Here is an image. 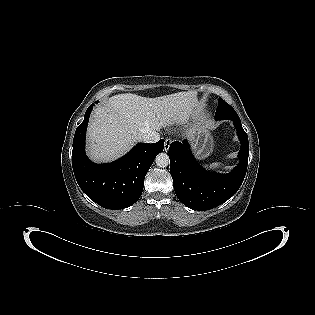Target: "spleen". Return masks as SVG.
Masks as SVG:
<instances>
[{"label":"spleen","mask_w":315,"mask_h":315,"mask_svg":"<svg viewBox=\"0 0 315 315\" xmlns=\"http://www.w3.org/2000/svg\"><path fill=\"white\" fill-rule=\"evenodd\" d=\"M220 165H221L220 163L215 162V163H212L210 165H204V167L205 168H210V169H217V168L220 167Z\"/></svg>","instance_id":"obj_1"}]
</instances>
